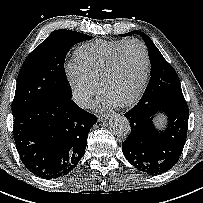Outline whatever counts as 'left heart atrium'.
I'll return each instance as SVG.
<instances>
[{"label":"left heart atrium","instance_id":"left-heart-atrium-1","mask_svg":"<svg viewBox=\"0 0 203 203\" xmlns=\"http://www.w3.org/2000/svg\"><path fill=\"white\" fill-rule=\"evenodd\" d=\"M118 105L119 103L117 101H115L113 98L105 93H103L95 102V106L99 110H109Z\"/></svg>","mask_w":203,"mask_h":203}]
</instances>
